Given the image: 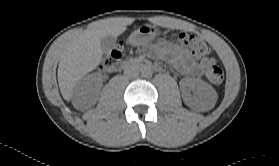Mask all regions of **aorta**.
I'll return each instance as SVG.
<instances>
[{"label": "aorta", "instance_id": "aorta-1", "mask_svg": "<svg viewBox=\"0 0 279 166\" xmlns=\"http://www.w3.org/2000/svg\"><path fill=\"white\" fill-rule=\"evenodd\" d=\"M152 74H153V71H152L149 67H144V68L141 70V75H142V77H144V78H151V77H152Z\"/></svg>", "mask_w": 279, "mask_h": 166}]
</instances>
